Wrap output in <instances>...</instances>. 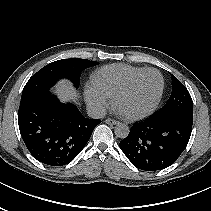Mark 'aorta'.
<instances>
[{
    "instance_id": "1",
    "label": "aorta",
    "mask_w": 211,
    "mask_h": 211,
    "mask_svg": "<svg viewBox=\"0 0 211 211\" xmlns=\"http://www.w3.org/2000/svg\"><path fill=\"white\" fill-rule=\"evenodd\" d=\"M130 129L125 123H118L115 126L114 133L118 138L124 139L128 136Z\"/></svg>"
}]
</instances>
